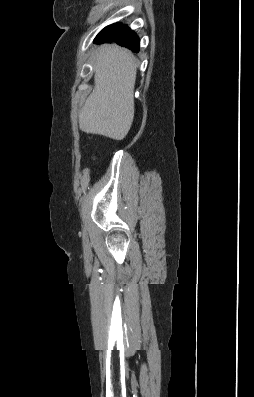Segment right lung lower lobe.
<instances>
[{
    "mask_svg": "<svg viewBox=\"0 0 254 397\" xmlns=\"http://www.w3.org/2000/svg\"><path fill=\"white\" fill-rule=\"evenodd\" d=\"M116 42L134 52L139 51V38L128 26L115 23L105 27L94 39V43Z\"/></svg>",
    "mask_w": 254,
    "mask_h": 397,
    "instance_id": "98d812e1",
    "label": "right lung lower lobe"
}]
</instances>
